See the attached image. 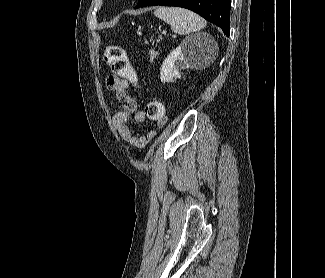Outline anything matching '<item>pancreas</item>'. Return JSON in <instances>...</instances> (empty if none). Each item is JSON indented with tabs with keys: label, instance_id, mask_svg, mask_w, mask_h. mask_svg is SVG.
Returning a JSON list of instances; mask_svg holds the SVG:
<instances>
[{
	"label": "pancreas",
	"instance_id": "obj_1",
	"mask_svg": "<svg viewBox=\"0 0 325 278\" xmlns=\"http://www.w3.org/2000/svg\"><path fill=\"white\" fill-rule=\"evenodd\" d=\"M149 55H150V61H153L156 58V56L158 55V52L155 51L154 49H151L149 51Z\"/></svg>",
	"mask_w": 325,
	"mask_h": 278
}]
</instances>
